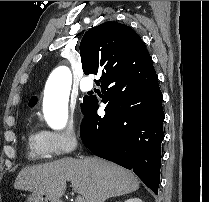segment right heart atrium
Here are the masks:
<instances>
[{"instance_id": "d8ad5b80", "label": "right heart atrium", "mask_w": 209, "mask_h": 202, "mask_svg": "<svg viewBox=\"0 0 209 202\" xmlns=\"http://www.w3.org/2000/svg\"><path fill=\"white\" fill-rule=\"evenodd\" d=\"M41 139L46 149L54 156H62L74 151L78 145V133L73 123L67 124L59 131L44 130ZM76 172L83 170L82 166L75 162H68Z\"/></svg>"}]
</instances>
